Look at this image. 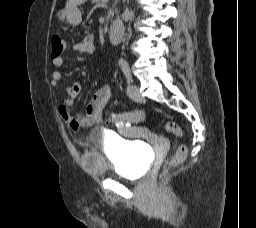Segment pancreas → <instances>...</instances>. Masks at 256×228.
<instances>
[{
    "mask_svg": "<svg viewBox=\"0 0 256 228\" xmlns=\"http://www.w3.org/2000/svg\"><path fill=\"white\" fill-rule=\"evenodd\" d=\"M91 1H92V3H99L100 1L103 2V0H91Z\"/></svg>",
    "mask_w": 256,
    "mask_h": 228,
    "instance_id": "pancreas-1",
    "label": "pancreas"
}]
</instances>
